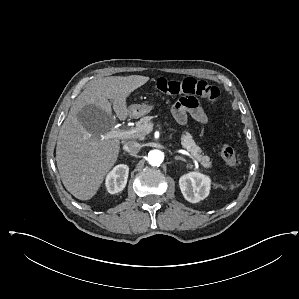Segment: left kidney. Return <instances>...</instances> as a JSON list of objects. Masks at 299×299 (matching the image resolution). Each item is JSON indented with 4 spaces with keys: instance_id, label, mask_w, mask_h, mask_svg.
Returning a JSON list of instances; mask_svg holds the SVG:
<instances>
[{
    "instance_id": "5707ae66",
    "label": "left kidney",
    "mask_w": 299,
    "mask_h": 299,
    "mask_svg": "<svg viewBox=\"0 0 299 299\" xmlns=\"http://www.w3.org/2000/svg\"><path fill=\"white\" fill-rule=\"evenodd\" d=\"M211 180L200 172H191L179 179V186L184 198L197 203L209 195Z\"/></svg>"
}]
</instances>
